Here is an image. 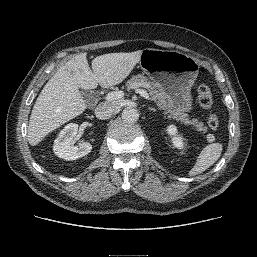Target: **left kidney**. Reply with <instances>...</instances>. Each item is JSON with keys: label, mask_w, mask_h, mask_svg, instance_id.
Here are the masks:
<instances>
[{"label": "left kidney", "mask_w": 257, "mask_h": 257, "mask_svg": "<svg viewBox=\"0 0 257 257\" xmlns=\"http://www.w3.org/2000/svg\"><path fill=\"white\" fill-rule=\"evenodd\" d=\"M168 134L172 137V143L176 148L182 149L184 146L183 138L178 136L177 128L174 125L167 127Z\"/></svg>", "instance_id": "5707ae66"}]
</instances>
